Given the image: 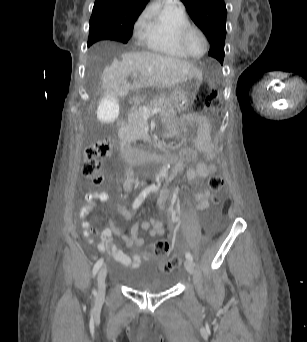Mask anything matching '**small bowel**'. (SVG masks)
<instances>
[{"label":"small bowel","mask_w":307,"mask_h":342,"mask_svg":"<svg viewBox=\"0 0 307 342\" xmlns=\"http://www.w3.org/2000/svg\"><path fill=\"white\" fill-rule=\"evenodd\" d=\"M188 127L195 129L196 134L194 143L191 148L183 149L180 153V159L174 158V168L171 176L182 171L188 163H193L187 169V178L192 182H198L199 180L206 178L218 171L217 165L214 163L216 158V150L214 142L211 138V122L205 115L194 113L188 117ZM204 155L205 160L198 159V154ZM132 178L129 174L126 182V190H131ZM168 197V190L164 188L159 198V204L162 208L165 207V202ZM210 191L205 188L196 194V209L204 211L209 208ZM109 199V195L103 191H91L85 194L86 204L80 209L79 217L84 219L97 205V201L105 202ZM117 211L128 222L132 220V215L125 208H118ZM111 225L101 231L95 230L91 227L88 221L82 222L83 234L86 238L90 239L91 235L99 234L101 241L98 244V248L101 252H108L116 261L126 265L135 266L139 257H130L121 248H119L113 241L112 237L118 236L122 242L129 247L140 248L144 245L143 238L138 236V225L134 224L131 227L130 235H124L121 228L112 223ZM143 230L149 231V233H157L158 236H162L165 233L162 223L158 219H152L150 222L144 221L140 224Z\"/></svg>","instance_id":"obj_1"}]
</instances>
